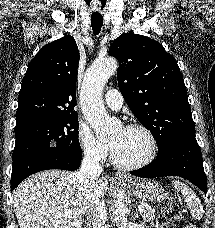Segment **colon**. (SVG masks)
<instances>
[{"mask_svg":"<svg viewBox=\"0 0 215 228\" xmlns=\"http://www.w3.org/2000/svg\"><path fill=\"white\" fill-rule=\"evenodd\" d=\"M160 213L165 217L160 228H176V223L180 220L181 212L179 206L169 195H164L158 202ZM186 228H199V225H186Z\"/></svg>","mask_w":215,"mask_h":228,"instance_id":"1","label":"colon"}]
</instances>
